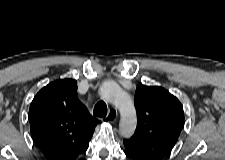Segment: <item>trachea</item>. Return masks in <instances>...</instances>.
<instances>
[{
  "label": "trachea",
  "instance_id": "3493384b",
  "mask_svg": "<svg viewBox=\"0 0 225 160\" xmlns=\"http://www.w3.org/2000/svg\"><path fill=\"white\" fill-rule=\"evenodd\" d=\"M95 117H105L107 115V105L104 101H99L93 110Z\"/></svg>",
  "mask_w": 225,
  "mask_h": 160
}]
</instances>
